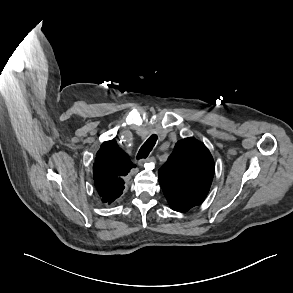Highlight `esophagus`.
Wrapping results in <instances>:
<instances>
[{
	"label": "esophagus",
	"mask_w": 293,
	"mask_h": 293,
	"mask_svg": "<svg viewBox=\"0 0 293 293\" xmlns=\"http://www.w3.org/2000/svg\"><path fill=\"white\" fill-rule=\"evenodd\" d=\"M155 161V158L154 157H148L146 159H142L140 162H139V165H142L143 163H151V162H154Z\"/></svg>",
	"instance_id": "esophagus-1"
}]
</instances>
